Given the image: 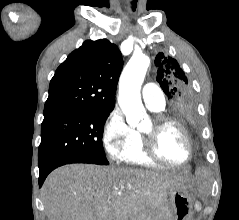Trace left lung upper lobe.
<instances>
[{
  "label": "left lung upper lobe",
  "instance_id": "1",
  "mask_svg": "<svg viewBox=\"0 0 239 220\" xmlns=\"http://www.w3.org/2000/svg\"><path fill=\"white\" fill-rule=\"evenodd\" d=\"M157 81L170 101L174 116L190 124L197 122V106L190 95L187 77L177 60L159 53L155 58Z\"/></svg>",
  "mask_w": 239,
  "mask_h": 220
}]
</instances>
